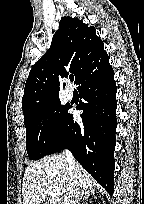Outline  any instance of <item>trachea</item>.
<instances>
[{
	"instance_id": "3493384b",
	"label": "trachea",
	"mask_w": 144,
	"mask_h": 204,
	"mask_svg": "<svg viewBox=\"0 0 144 204\" xmlns=\"http://www.w3.org/2000/svg\"><path fill=\"white\" fill-rule=\"evenodd\" d=\"M69 78H70V80H71V81H73V80H74V76H70Z\"/></svg>"
}]
</instances>
